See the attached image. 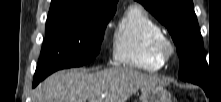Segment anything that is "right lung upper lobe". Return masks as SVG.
Here are the masks:
<instances>
[{"mask_svg": "<svg viewBox=\"0 0 221 102\" xmlns=\"http://www.w3.org/2000/svg\"><path fill=\"white\" fill-rule=\"evenodd\" d=\"M118 0H52L49 13L80 10H115Z\"/></svg>", "mask_w": 221, "mask_h": 102, "instance_id": "cb5924a9", "label": "right lung upper lobe"}]
</instances>
